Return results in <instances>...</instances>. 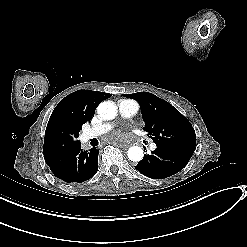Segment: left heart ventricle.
Listing matches in <instances>:
<instances>
[{"mask_svg": "<svg viewBox=\"0 0 247 247\" xmlns=\"http://www.w3.org/2000/svg\"><path fill=\"white\" fill-rule=\"evenodd\" d=\"M118 125H119V127H121L124 130H129V131H135L136 130L134 123L129 119H122L118 123Z\"/></svg>", "mask_w": 247, "mask_h": 247, "instance_id": "1", "label": "left heart ventricle"}]
</instances>
